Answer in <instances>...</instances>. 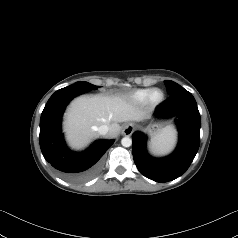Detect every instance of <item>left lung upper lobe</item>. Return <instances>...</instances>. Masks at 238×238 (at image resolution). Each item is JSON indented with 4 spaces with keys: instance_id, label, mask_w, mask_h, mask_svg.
Returning a JSON list of instances; mask_svg holds the SVG:
<instances>
[{
    "instance_id": "1",
    "label": "left lung upper lobe",
    "mask_w": 238,
    "mask_h": 238,
    "mask_svg": "<svg viewBox=\"0 0 238 238\" xmlns=\"http://www.w3.org/2000/svg\"><path fill=\"white\" fill-rule=\"evenodd\" d=\"M164 83H165V86L167 88V92L169 95L175 94L179 90L183 89L179 84H177L173 81H170V80H165Z\"/></svg>"
}]
</instances>
